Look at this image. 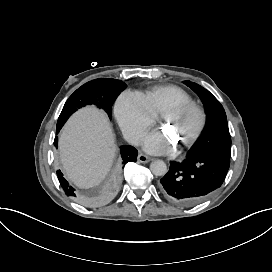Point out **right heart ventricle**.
<instances>
[{
  "label": "right heart ventricle",
  "instance_id": "right-heart-ventricle-1",
  "mask_svg": "<svg viewBox=\"0 0 272 272\" xmlns=\"http://www.w3.org/2000/svg\"><path fill=\"white\" fill-rule=\"evenodd\" d=\"M152 110L162 113L173 102L191 103L190 97L182 89L176 86L156 87L145 95Z\"/></svg>",
  "mask_w": 272,
  "mask_h": 272
}]
</instances>
